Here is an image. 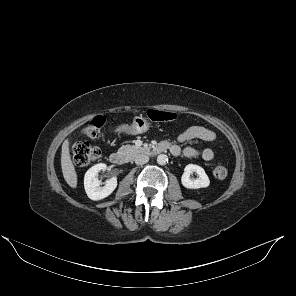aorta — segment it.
<instances>
[{"label":"aorta","instance_id":"762f6f07","mask_svg":"<svg viewBox=\"0 0 296 296\" xmlns=\"http://www.w3.org/2000/svg\"><path fill=\"white\" fill-rule=\"evenodd\" d=\"M168 162V157L165 154H160L157 157V163L159 165H165Z\"/></svg>","mask_w":296,"mask_h":296}]
</instances>
